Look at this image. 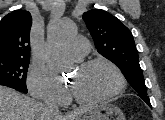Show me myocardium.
<instances>
[{
	"label": "myocardium",
	"mask_w": 165,
	"mask_h": 120,
	"mask_svg": "<svg viewBox=\"0 0 165 120\" xmlns=\"http://www.w3.org/2000/svg\"><path fill=\"white\" fill-rule=\"evenodd\" d=\"M98 65L107 66L114 72V74L116 75V78H117V86L109 94H107L105 96H102V97H99V98H96V99H85V98H82L71 87L70 88L71 95H72L73 99L76 102H78L79 104H83V105H97V104H101V103L110 101L113 98L117 97L125 89L126 81H125V77H124L121 69L115 63H113L112 61H110L108 59L95 58V59L87 60V61L83 62L80 65L79 69L84 70V69H88V68H91V67H94V66H98Z\"/></svg>",
	"instance_id": "1"
}]
</instances>
